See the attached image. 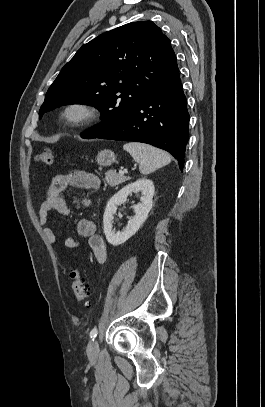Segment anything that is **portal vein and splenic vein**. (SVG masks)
Wrapping results in <instances>:
<instances>
[{
	"mask_svg": "<svg viewBox=\"0 0 265 407\" xmlns=\"http://www.w3.org/2000/svg\"><path fill=\"white\" fill-rule=\"evenodd\" d=\"M126 172H127V171H125V170H120V171H119V174H120V175H124Z\"/></svg>",
	"mask_w": 265,
	"mask_h": 407,
	"instance_id": "portal-vein-and-splenic-vein-1",
	"label": "portal vein and splenic vein"
}]
</instances>
